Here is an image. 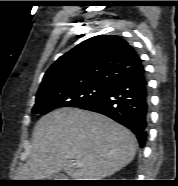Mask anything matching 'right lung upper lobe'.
Segmentation results:
<instances>
[{
	"mask_svg": "<svg viewBox=\"0 0 178 186\" xmlns=\"http://www.w3.org/2000/svg\"><path fill=\"white\" fill-rule=\"evenodd\" d=\"M142 67L135 49L115 35H99L61 56L45 73L38 92L90 83L110 84Z\"/></svg>",
	"mask_w": 178,
	"mask_h": 186,
	"instance_id": "obj_1",
	"label": "right lung upper lobe"
}]
</instances>
